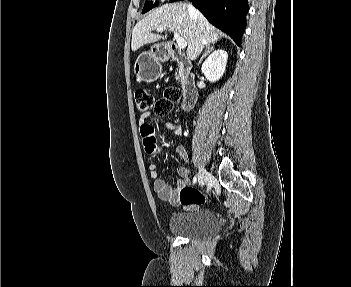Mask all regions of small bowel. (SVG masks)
<instances>
[{
  "mask_svg": "<svg viewBox=\"0 0 351 287\" xmlns=\"http://www.w3.org/2000/svg\"><path fill=\"white\" fill-rule=\"evenodd\" d=\"M151 113L146 112L140 115L138 124L140 125V133L143 142V152L145 156H153L157 149L162 148V143L157 142L156 132H154L153 122H147ZM164 127L172 131L176 135L182 134L180 124L173 122H165ZM176 152L183 161H188V153L184 145L180 144L176 147ZM148 170L151 177L154 179V189L159 198L169 201L173 205H179V192L187 184L190 176V171L185 166H180L177 169L179 179L176 186L173 188L164 180L158 178L157 165L155 162H150Z\"/></svg>",
  "mask_w": 351,
  "mask_h": 287,
  "instance_id": "1",
  "label": "small bowel"
}]
</instances>
